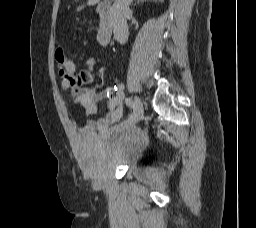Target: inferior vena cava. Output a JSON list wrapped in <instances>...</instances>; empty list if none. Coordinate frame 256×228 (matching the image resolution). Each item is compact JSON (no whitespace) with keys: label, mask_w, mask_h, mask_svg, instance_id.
Masks as SVG:
<instances>
[{"label":"inferior vena cava","mask_w":256,"mask_h":228,"mask_svg":"<svg viewBox=\"0 0 256 228\" xmlns=\"http://www.w3.org/2000/svg\"><path fill=\"white\" fill-rule=\"evenodd\" d=\"M133 0H116L111 9V22L114 38L121 44L128 40L129 30L126 15Z\"/></svg>","instance_id":"obj_1"}]
</instances>
